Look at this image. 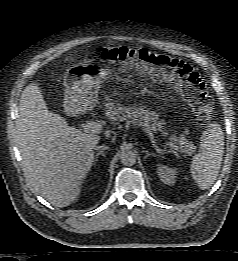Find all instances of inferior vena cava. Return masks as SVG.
Instances as JSON below:
<instances>
[{"mask_svg":"<svg viewBox=\"0 0 238 261\" xmlns=\"http://www.w3.org/2000/svg\"><path fill=\"white\" fill-rule=\"evenodd\" d=\"M93 149H94V150H100V149H101V146L95 145Z\"/></svg>","mask_w":238,"mask_h":261,"instance_id":"1","label":"inferior vena cava"}]
</instances>
